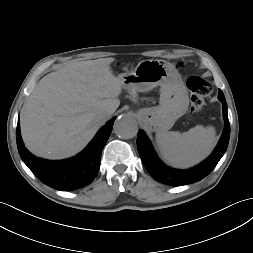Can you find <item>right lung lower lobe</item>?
<instances>
[{"instance_id":"obj_1","label":"right lung lower lobe","mask_w":253,"mask_h":253,"mask_svg":"<svg viewBox=\"0 0 253 253\" xmlns=\"http://www.w3.org/2000/svg\"><path fill=\"white\" fill-rule=\"evenodd\" d=\"M114 119L104 126L91 143L77 156L60 161H49L33 156L25 148L18 120L16 140L19 154L28 168L44 184L61 191L82 188L91 183L100 168L101 153L112 131Z\"/></svg>"}]
</instances>
